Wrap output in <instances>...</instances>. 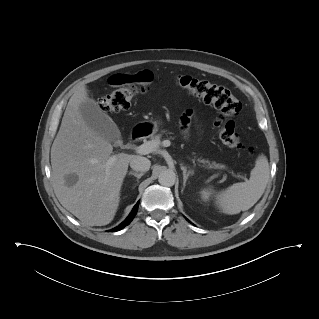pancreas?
Instances as JSON below:
<instances>
[{
    "label": "pancreas",
    "mask_w": 319,
    "mask_h": 319,
    "mask_svg": "<svg viewBox=\"0 0 319 319\" xmlns=\"http://www.w3.org/2000/svg\"><path fill=\"white\" fill-rule=\"evenodd\" d=\"M166 131L165 130H162L161 133L159 134H153L151 135V140L152 141H157V142H160V139L162 137V135L165 133ZM197 161L199 163H202L204 167H207V168H215V166L217 165H221V164H217L215 162H210L209 160H206V159H201V158H198Z\"/></svg>",
    "instance_id": "1"
}]
</instances>
